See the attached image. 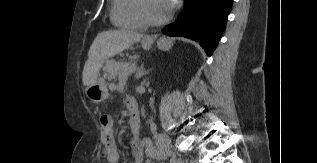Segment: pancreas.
Returning <instances> with one entry per match:
<instances>
[{
	"label": "pancreas",
	"instance_id": "obj_1",
	"mask_svg": "<svg viewBox=\"0 0 317 163\" xmlns=\"http://www.w3.org/2000/svg\"><path fill=\"white\" fill-rule=\"evenodd\" d=\"M133 66H135L133 63L117 62L113 59L108 60L104 67L105 78L109 81L116 79L123 71Z\"/></svg>",
	"mask_w": 317,
	"mask_h": 163
}]
</instances>
